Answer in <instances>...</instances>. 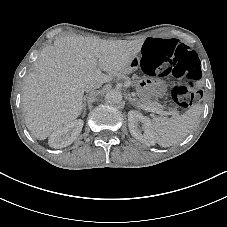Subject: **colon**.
<instances>
[{
  "mask_svg": "<svg viewBox=\"0 0 227 227\" xmlns=\"http://www.w3.org/2000/svg\"><path fill=\"white\" fill-rule=\"evenodd\" d=\"M141 55L147 74L179 81L171 90L176 106L186 108L201 98L202 90L196 85L202 76L199 59L186 45L174 39L149 38Z\"/></svg>",
  "mask_w": 227,
  "mask_h": 227,
  "instance_id": "colon-1",
  "label": "colon"
}]
</instances>
